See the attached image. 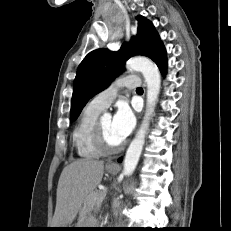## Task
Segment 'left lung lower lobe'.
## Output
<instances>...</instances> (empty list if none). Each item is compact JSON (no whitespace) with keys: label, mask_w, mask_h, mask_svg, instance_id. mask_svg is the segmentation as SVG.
Instances as JSON below:
<instances>
[{"label":"left lung lower lobe","mask_w":231,"mask_h":231,"mask_svg":"<svg viewBox=\"0 0 231 231\" xmlns=\"http://www.w3.org/2000/svg\"><path fill=\"white\" fill-rule=\"evenodd\" d=\"M152 60L157 64L161 73L165 75L166 68H167V59H166V51L163 45L159 48L157 53L153 56ZM119 161H121V159H119Z\"/></svg>","instance_id":"0a47b994"}]
</instances>
